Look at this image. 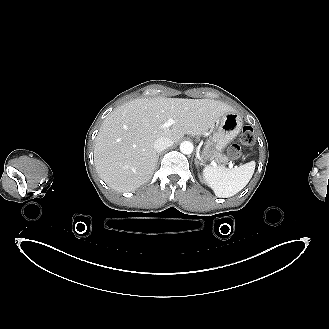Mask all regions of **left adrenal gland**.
<instances>
[{
    "label": "left adrenal gland",
    "mask_w": 329,
    "mask_h": 329,
    "mask_svg": "<svg viewBox=\"0 0 329 329\" xmlns=\"http://www.w3.org/2000/svg\"><path fill=\"white\" fill-rule=\"evenodd\" d=\"M195 164H196L197 167L199 166V162H198L197 159H195Z\"/></svg>",
    "instance_id": "obj_1"
}]
</instances>
